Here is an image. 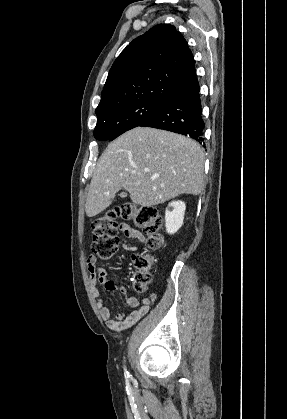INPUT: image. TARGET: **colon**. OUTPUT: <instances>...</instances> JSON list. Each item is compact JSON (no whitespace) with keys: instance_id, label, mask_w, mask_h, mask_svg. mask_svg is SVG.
<instances>
[{"instance_id":"colon-1","label":"colon","mask_w":287,"mask_h":419,"mask_svg":"<svg viewBox=\"0 0 287 419\" xmlns=\"http://www.w3.org/2000/svg\"><path fill=\"white\" fill-rule=\"evenodd\" d=\"M123 218L140 228L147 236L146 245L149 249H158L163 244L160 233L162 215L158 209L150 206H140L131 202L122 203L97 217L92 223V245L94 255L101 259H110L117 251L118 223ZM134 266L138 270L134 288L138 292L147 289L151 282L152 259L145 254L133 255Z\"/></svg>"}]
</instances>
